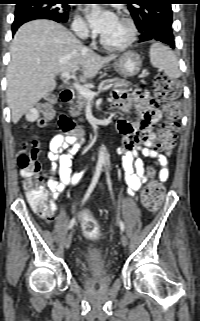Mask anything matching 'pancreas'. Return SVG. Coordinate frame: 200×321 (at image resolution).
Listing matches in <instances>:
<instances>
[{
	"mask_svg": "<svg viewBox=\"0 0 200 321\" xmlns=\"http://www.w3.org/2000/svg\"><path fill=\"white\" fill-rule=\"evenodd\" d=\"M106 82L114 85V88H127L131 85L130 82L120 78L109 79V80H106ZM86 104H87V99L81 94H78L76 105L71 108L70 113L73 116H79L81 112L85 109Z\"/></svg>",
	"mask_w": 200,
	"mask_h": 321,
	"instance_id": "obj_1",
	"label": "pancreas"
}]
</instances>
